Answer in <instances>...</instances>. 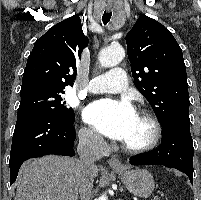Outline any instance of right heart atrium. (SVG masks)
Returning <instances> with one entry per match:
<instances>
[{"label":"right heart atrium","mask_w":201,"mask_h":200,"mask_svg":"<svg viewBox=\"0 0 201 200\" xmlns=\"http://www.w3.org/2000/svg\"><path fill=\"white\" fill-rule=\"evenodd\" d=\"M79 139L81 144L89 150L103 152L106 148L103 138L92 128L82 127L79 131Z\"/></svg>","instance_id":"1"}]
</instances>
